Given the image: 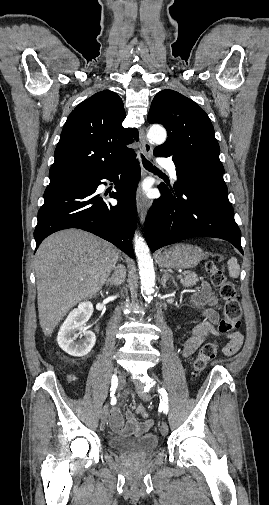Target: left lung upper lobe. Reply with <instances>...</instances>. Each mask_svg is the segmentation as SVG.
I'll use <instances>...</instances> for the list:
<instances>
[{
  "instance_id": "obj_1",
  "label": "left lung upper lobe",
  "mask_w": 269,
  "mask_h": 505,
  "mask_svg": "<svg viewBox=\"0 0 269 505\" xmlns=\"http://www.w3.org/2000/svg\"><path fill=\"white\" fill-rule=\"evenodd\" d=\"M148 121L162 124L168 134L154 155L172 157L175 166L191 163L224 173L213 125L197 103L176 91L162 90L152 101Z\"/></svg>"
}]
</instances>
